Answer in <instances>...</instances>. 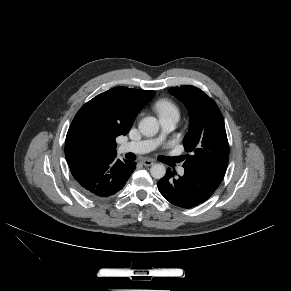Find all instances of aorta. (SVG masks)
<instances>
[{"label":"aorta","instance_id":"1","mask_svg":"<svg viewBox=\"0 0 291 291\" xmlns=\"http://www.w3.org/2000/svg\"><path fill=\"white\" fill-rule=\"evenodd\" d=\"M138 129L144 136H155L159 131L158 120L151 116L145 117L139 122ZM150 173L153 178L161 179L166 174V168L163 164H154L150 168Z\"/></svg>","mask_w":291,"mask_h":291}]
</instances>
